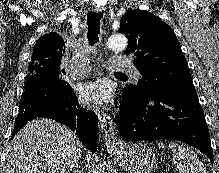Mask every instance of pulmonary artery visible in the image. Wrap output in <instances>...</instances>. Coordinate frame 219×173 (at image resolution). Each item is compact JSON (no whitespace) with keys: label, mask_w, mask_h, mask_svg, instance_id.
<instances>
[{"label":"pulmonary artery","mask_w":219,"mask_h":173,"mask_svg":"<svg viewBox=\"0 0 219 173\" xmlns=\"http://www.w3.org/2000/svg\"><path fill=\"white\" fill-rule=\"evenodd\" d=\"M110 62L112 69L115 71L128 72L134 79H139L141 77V73L134 67L133 63L128 58L114 57ZM72 72L76 78H83L88 75L89 68H74Z\"/></svg>","instance_id":"obj_1"}]
</instances>
